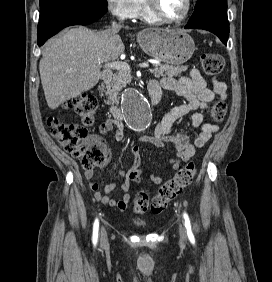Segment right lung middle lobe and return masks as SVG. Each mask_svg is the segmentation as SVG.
Listing matches in <instances>:
<instances>
[{
    "label": "right lung middle lobe",
    "instance_id": "right-lung-middle-lobe-1",
    "mask_svg": "<svg viewBox=\"0 0 272 282\" xmlns=\"http://www.w3.org/2000/svg\"><path fill=\"white\" fill-rule=\"evenodd\" d=\"M66 3L96 4L107 7V0H40V10Z\"/></svg>",
    "mask_w": 272,
    "mask_h": 282
}]
</instances>
